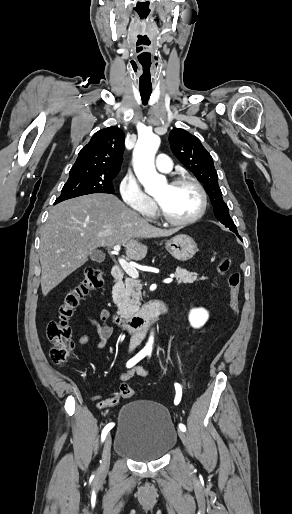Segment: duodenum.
Returning <instances> with one entry per match:
<instances>
[{"label":"duodenum","mask_w":292,"mask_h":514,"mask_svg":"<svg viewBox=\"0 0 292 514\" xmlns=\"http://www.w3.org/2000/svg\"><path fill=\"white\" fill-rule=\"evenodd\" d=\"M124 270L122 267L115 265L112 269V276L115 284H119L124 278ZM168 311V305L164 300L154 299L147 302L136 314L129 317H120L113 314L116 326L121 332L128 334H138L146 330L150 323L161 315H165Z\"/></svg>","instance_id":"obj_1"}]
</instances>
